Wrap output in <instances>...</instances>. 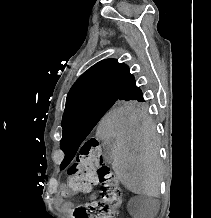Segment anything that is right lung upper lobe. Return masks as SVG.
Listing matches in <instances>:
<instances>
[{"mask_svg":"<svg viewBox=\"0 0 211 218\" xmlns=\"http://www.w3.org/2000/svg\"><path fill=\"white\" fill-rule=\"evenodd\" d=\"M134 80L129 67L115 59L98 62L83 73L70 89L65 110L85 101L121 97L124 89Z\"/></svg>","mask_w":211,"mask_h":218,"instance_id":"obj_1","label":"right lung upper lobe"}]
</instances>
